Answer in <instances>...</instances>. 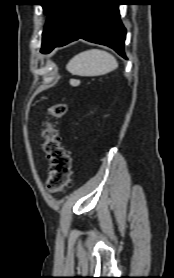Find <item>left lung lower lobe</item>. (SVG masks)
Returning a JSON list of instances; mask_svg holds the SVG:
<instances>
[{"label":"left lung lower lobe","mask_w":174,"mask_h":278,"mask_svg":"<svg viewBox=\"0 0 174 278\" xmlns=\"http://www.w3.org/2000/svg\"><path fill=\"white\" fill-rule=\"evenodd\" d=\"M121 0H77L62 38L55 47L66 45L79 38L111 47L126 59L124 41L126 29L120 21L118 5Z\"/></svg>","instance_id":"0a47b994"}]
</instances>
